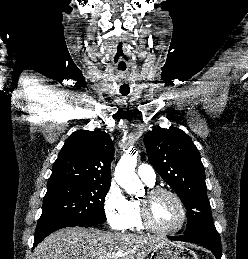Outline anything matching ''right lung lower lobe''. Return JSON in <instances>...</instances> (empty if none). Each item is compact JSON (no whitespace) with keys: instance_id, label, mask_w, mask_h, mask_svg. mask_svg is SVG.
<instances>
[{"instance_id":"obj_1","label":"right lung lower lobe","mask_w":248,"mask_h":259,"mask_svg":"<svg viewBox=\"0 0 248 259\" xmlns=\"http://www.w3.org/2000/svg\"><path fill=\"white\" fill-rule=\"evenodd\" d=\"M90 227L87 225H78L75 223H69V222H62V221H52V222H46L42 224H38L35 231V239H34V246L33 248L40 243L46 236L51 234L52 232L59 230L61 228L65 227Z\"/></svg>"}]
</instances>
